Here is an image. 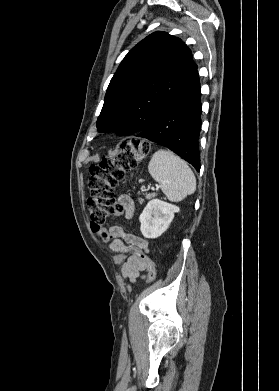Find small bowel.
Masks as SVG:
<instances>
[{
    "instance_id": "obj_1",
    "label": "small bowel",
    "mask_w": 279,
    "mask_h": 391,
    "mask_svg": "<svg viewBox=\"0 0 279 391\" xmlns=\"http://www.w3.org/2000/svg\"><path fill=\"white\" fill-rule=\"evenodd\" d=\"M120 206L123 208L126 218H131L134 213V202L125 194H122L118 198ZM111 235L110 249L117 253L127 254L131 250L129 246H134L139 250H142L145 254L149 253L148 243L142 237L134 234L127 233L120 226L114 225L107 230ZM126 242V244L122 241ZM147 269V264L142 261L137 255L131 254L128 256L126 262L122 266V274L125 278L131 282H136L138 278H145L141 275V272Z\"/></svg>"
}]
</instances>
